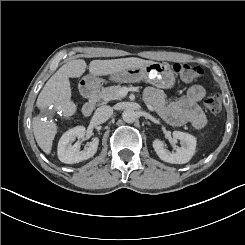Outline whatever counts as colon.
Listing matches in <instances>:
<instances>
[{"label": "colon", "instance_id": "obj_1", "mask_svg": "<svg viewBox=\"0 0 245 245\" xmlns=\"http://www.w3.org/2000/svg\"><path fill=\"white\" fill-rule=\"evenodd\" d=\"M173 70L186 81H194L203 74V69L199 66H191L186 63H177L173 65ZM205 108L212 114H217L222 109L221 99L217 95H210L204 98Z\"/></svg>", "mask_w": 245, "mask_h": 245}]
</instances>
